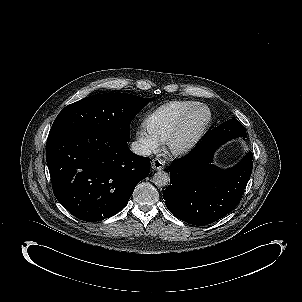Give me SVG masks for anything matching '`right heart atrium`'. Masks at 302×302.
Instances as JSON below:
<instances>
[{
    "mask_svg": "<svg viewBox=\"0 0 302 302\" xmlns=\"http://www.w3.org/2000/svg\"><path fill=\"white\" fill-rule=\"evenodd\" d=\"M136 143L138 150L147 155L157 151L162 144V140L148 132L145 126L141 125L136 130Z\"/></svg>",
    "mask_w": 302,
    "mask_h": 302,
    "instance_id": "obj_1",
    "label": "right heart atrium"
}]
</instances>
